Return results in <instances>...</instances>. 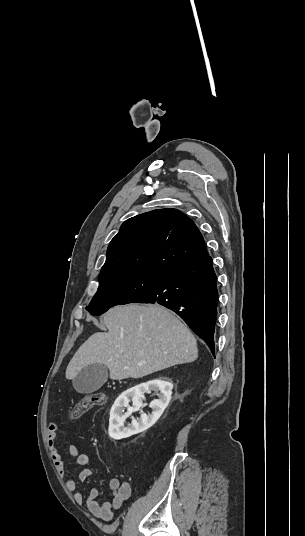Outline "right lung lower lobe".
<instances>
[{
	"mask_svg": "<svg viewBox=\"0 0 305 536\" xmlns=\"http://www.w3.org/2000/svg\"><path fill=\"white\" fill-rule=\"evenodd\" d=\"M133 303H158L173 310L207 343L214 355L218 291L209 255L167 274Z\"/></svg>",
	"mask_w": 305,
	"mask_h": 536,
	"instance_id": "right-lung-lower-lobe-1",
	"label": "right lung lower lobe"
}]
</instances>
